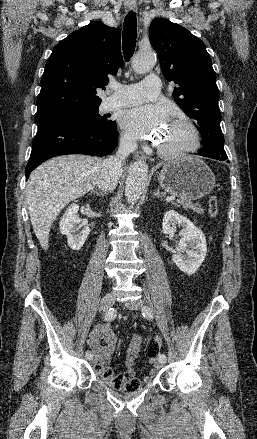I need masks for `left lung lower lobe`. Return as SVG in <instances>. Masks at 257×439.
<instances>
[{
  "mask_svg": "<svg viewBox=\"0 0 257 439\" xmlns=\"http://www.w3.org/2000/svg\"><path fill=\"white\" fill-rule=\"evenodd\" d=\"M198 155H200V154L198 153ZM201 156H202V155H201ZM213 159H217V160H220V161H224V160H227L228 157H227V156H220V157H216V158H213Z\"/></svg>",
  "mask_w": 257,
  "mask_h": 439,
  "instance_id": "left-lung-lower-lobe-1",
  "label": "left lung lower lobe"
}]
</instances>
